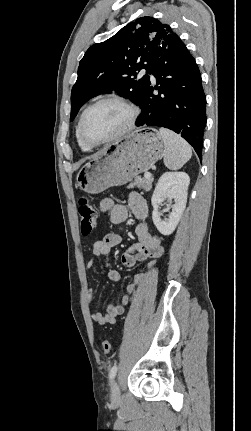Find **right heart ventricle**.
Wrapping results in <instances>:
<instances>
[{"label": "right heart ventricle", "instance_id": "obj_1", "mask_svg": "<svg viewBox=\"0 0 251 431\" xmlns=\"http://www.w3.org/2000/svg\"><path fill=\"white\" fill-rule=\"evenodd\" d=\"M76 139H77V142H78V145H79V147H80V149L82 150V151H84V152H88V151H90L91 150V147H89V146H87V145H85L83 142H82V140L80 139V136H79V131H78V125L76 126Z\"/></svg>", "mask_w": 251, "mask_h": 431}]
</instances>
